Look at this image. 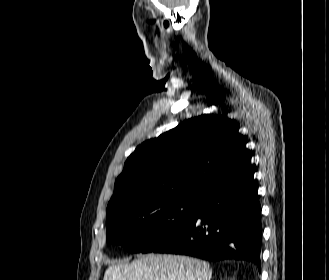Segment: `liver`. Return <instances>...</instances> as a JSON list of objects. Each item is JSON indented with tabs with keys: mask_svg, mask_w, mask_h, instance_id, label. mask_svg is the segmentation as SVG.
<instances>
[{
	"mask_svg": "<svg viewBox=\"0 0 329 280\" xmlns=\"http://www.w3.org/2000/svg\"><path fill=\"white\" fill-rule=\"evenodd\" d=\"M212 269L204 261L181 255L141 256L131 263L110 266L103 280H211Z\"/></svg>",
	"mask_w": 329,
	"mask_h": 280,
	"instance_id": "obj_1",
	"label": "liver"
}]
</instances>
